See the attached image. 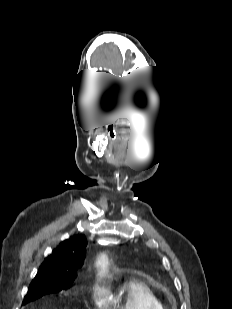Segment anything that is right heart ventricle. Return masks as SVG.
<instances>
[{"label": "right heart ventricle", "mask_w": 232, "mask_h": 309, "mask_svg": "<svg viewBox=\"0 0 232 309\" xmlns=\"http://www.w3.org/2000/svg\"><path fill=\"white\" fill-rule=\"evenodd\" d=\"M104 309H164V305L146 283L130 279L115 297L107 299Z\"/></svg>", "instance_id": "right-heart-ventricle-1"}]
</instances>
